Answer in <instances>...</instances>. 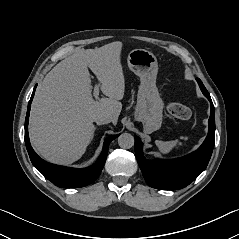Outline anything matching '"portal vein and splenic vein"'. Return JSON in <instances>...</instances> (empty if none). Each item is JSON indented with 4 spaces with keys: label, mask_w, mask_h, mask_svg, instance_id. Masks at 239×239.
Wrapping results in <instances>:
<instances>
[{
    "label": "portal vein and splenic vein",
    "mask_w": 239,
    "mask_h": 239,
    "mask_svg": "<svg viewBox=\"0 0 239 239\" xmlns=\"http://www.w3.org/2000/svg\"><path fill=\"white\" fill-rule=\"evenodd\" d=\"M99 95V85H95L94 91H93V96L97 98Z\"/></svg>",
    "instance_id": "18ae733b"
}]
</instances>
